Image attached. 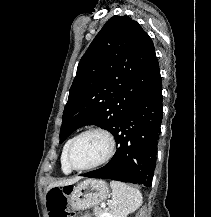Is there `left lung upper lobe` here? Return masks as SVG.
Instances as JSON below:
<instances>
[{
  "label": "left lung upper lobe",
  "instance_id": "1",
  "mask_svg": "<svg viewBox=\"0 0 211 217\" xmlns=\"http://www.w3.org/2000/svg\"><path fill=\"white\" fill-rule=\"evenodd\" d=\"M160 75L152 39L128 16H113L81 58L69 91L60 143L85 125L113 133Z\"/></svg>",
  "mask_w": 211,
  "mask_h": 217
}]
</instances>
